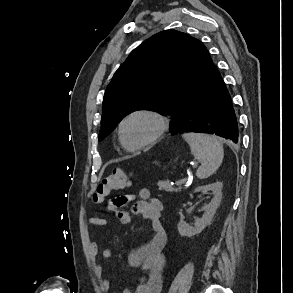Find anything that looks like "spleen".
<instances>
[{"mask_svg":"<svg viewBox=\"0 0 293 293\" xmlns=\"http://www.w3.org/2000/svg\"><path fill=\"white\" fill-rule=\"evenodd\" d=\"M182 137L189 144L193 156L201 161L196 176L200 179L211 176L222 163V143L217 137L202 133H184Z\"/></svg>","mask_w":293,"mask_h":293,"instance_id":"3e777b00","label":"spleen"}]
</instances>
